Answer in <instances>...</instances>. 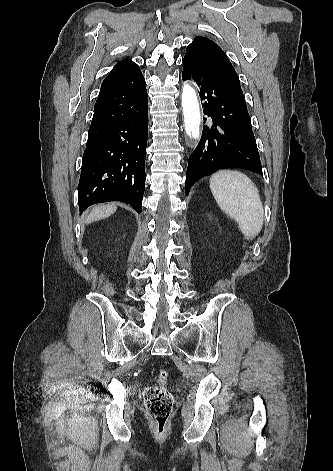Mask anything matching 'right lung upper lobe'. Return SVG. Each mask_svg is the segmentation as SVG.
Here are the masks:
<instances>
[{"instance_id": "1", "label": "right lung upper lobe", "mask_w": 333, "mask_h": 471, "mask_svg": "<svg viewBox=\"0 0 333 471\" xmlns=\"http://www.w3.org/2000/svg\"><path fill=\"white\" fill-rule=\"evenodd\" d=\"M139 66L129 59L117 63L101 85V91L121 87L140 73Z\"/></svg>"}]
</instances>
